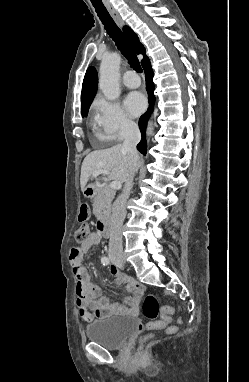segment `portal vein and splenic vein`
Returning a JSON list of instances; mask_svg holds the SVG:
<instances>
[{
	"instance_id": "portal-vein-and-splenic-vein-1",
	"label": "portal vein and splenic vein",
	"mask_w": 249,
	"mask_h": 382,
	"mask_svg": "<svg viewBox=\"0 0 249 382\" xmlns=\"http://www.w3.org/2000/svg\"><path fill=\"white\" fill-rule=\"evenodd\" d=\"M94 175H99V174H105V175H108L109 174V171L106 170V169H101V170H97L93 173ZM109 188L111 190H118L121 188V182L120 181H112L110 184H109Z\"/></svg>"
}]
</instances>
